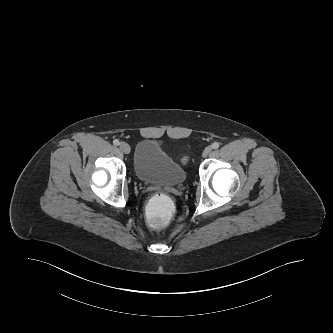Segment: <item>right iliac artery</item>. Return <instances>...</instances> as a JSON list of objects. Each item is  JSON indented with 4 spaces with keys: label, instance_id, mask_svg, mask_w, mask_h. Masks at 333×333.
<instances>
[{
    "label": "right iliac artery",
    "instance_id": "1",
    "mask_svg": "<svg viewBox=\"0 0 333 333\" xmlns=\"http://www.w3.org/2000/svg\"><path fill=\"white\" fill-rule=\"evenodd\" d=\"M113 144L116 145V146H118V145L120 144V142H119V140L115 139V140L113 141Z\"/></svg>",
    "mask_w": 333,
    "mask_h": 333
}]
</instances>
